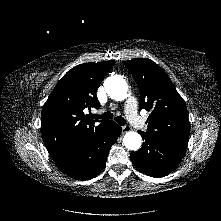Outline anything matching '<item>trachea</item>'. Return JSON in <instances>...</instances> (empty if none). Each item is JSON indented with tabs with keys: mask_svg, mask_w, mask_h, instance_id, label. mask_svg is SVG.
<instances>
[{
	"mask_svg": "<svg viewBox=\"0 0 221 221\" xmlns=\"http://www.w3.org/2000/svg\"><path fill=\"white\" fill-rule=\"evenodd\" d=\"M94 118L104 119V120L113 119V114L111 112H105L102 115H95ZM115 121L122 126H124L126 124V121L122 116L115 117Z\"/></svg>",
	"mask_w": 221,
	"mask_h": 221,
	"instance_id": "trachea-1",
	"label": "trachea"
}]
</instances>
